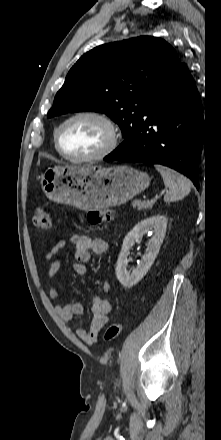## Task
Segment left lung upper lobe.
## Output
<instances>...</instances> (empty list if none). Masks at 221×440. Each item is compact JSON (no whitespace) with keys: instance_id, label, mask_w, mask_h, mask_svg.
Listing matches in <instances>:
<instances>
[{"instance_id":"left-lung-upper-lobe-1","label":"left lung upper lobe","mask_w":221,"mask_h":440,"mask_svg":"<svg viewBox=\"0 0 221 440\" xmlns=\"http://www.w3.org/2000/svg\"><path fill=\"white\" fill-rule=\"evenodd\" d=\"M180 60L166 41L150 36L100 45L85 53L68 72L48 118L77 111L107 114L130 139L142 113Z\"/></svg>"}]
</instances>
